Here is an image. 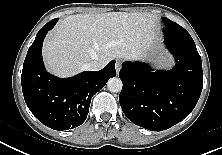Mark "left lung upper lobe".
Returning a JSON list of instances; mask_svg holds the SVG:
<instances>
[{
  "label": "left lung upper lobe",
  "instance_id": "1",
  "mask_svg": "<svg viewBox=\"0 0 222 155\" xmlns=\"http://www.w3.org/2000/svg\"><path fill=\"white\" fill-rule=\"evenodd\" d=\"M162 21L164 22L166 28L165 31L166 32H172L174 34H189L183 27H181L180 25L176 24L175 22L169 20L166 17L162 18Z\"/></svg>",
  "mask_w": 222,
  "mask_h": 155
}]
</instances>
